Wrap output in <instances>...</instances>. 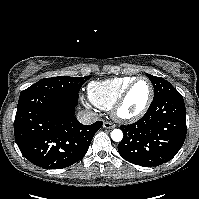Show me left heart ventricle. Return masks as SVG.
Masks as SVG:
<instances>
[{
    "instance_id": "left-heart-ventricle-1",
    "label": "left heart ventricle",
    "mask_w": 199,
    "mask_h": 199,
    "mask_svg": "<svg viewBox=\"0 0 199 199\" xmlns=\"http://www.w3.org/2000/svg\"><path fill=\"white\" fill-rule=\"evenodd\" d=\"M150 93V86L147 81H138L131 89L126 102L123 106V112L126 114L137 113L146 103Z\"/></svg>"
}]
</instances>
